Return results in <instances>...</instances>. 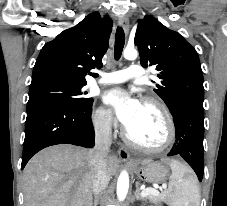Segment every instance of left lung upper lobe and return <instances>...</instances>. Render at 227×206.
I'll return each mask as SVG.
<instances>
[{
	"label": "left lung upper lobe",
	"instance_id": "1",
	"mask_svg": "<svg viewBox=\"0 0 227 206\" xmlns=\"http://www.w3.org/2000/svg\"><path fill=\"white\" fill-rule=\"evenodd\" d=\"M143 67L155 65L160 79L154 91L170 112L185 103L203 105V73L198 54L178 32L151 16L139 20L135 39Z\"/></svg>",
	"mask_w": 227,
	"mask_h": 206
}]
</instances>
